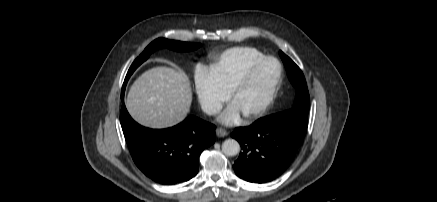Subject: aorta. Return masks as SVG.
<instances>
[{
	"mask_svg": "<svg viewBox=\"0 0 437 202\" xmlns=\"http://www.w3.org/2000/svg\"><path fill=\"white\" fill-rule=\"evenodd\" d=\"M222 151L228 156H235L240 151V145L234 139H227L222 143Z\"/></svg>",
	"mask_w": 437,
	"mask_h": 202,
	"instance_id": "obj_1",
	"label": "aorta"
}]
</instances>
